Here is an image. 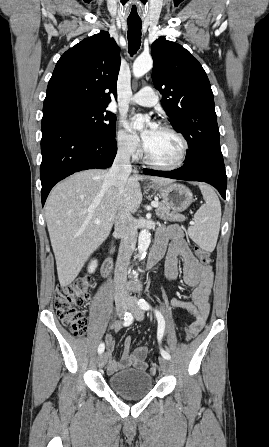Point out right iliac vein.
Listing matches in <instances>:
<instances>
[{"mask_svg":"<svg viewBox=\"0 0 269 447\" xmlns=\"http://www.w3.org/2000/svg\"><path fill=\"white\" fill-rule=\"evenodd\" d=\"M127 308V303L124 300L116 301V313L119 317H123ZM107 362V354L102 353L97 357V364L99 368H102Z\"/></svg>","mask_w":269,"mask_h":447,"instance_id":"63e3f726","label":"right iliac vein"}]
</instances>
